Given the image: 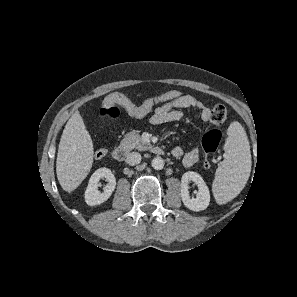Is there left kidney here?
<instances>
[{
    "mask_svg": "<svg viewBox=\"0 0 297 297\" xmlns=\"http://www.w3.org/2000/svg\"><path fill=\"white\" fill-rule=\"evenodd\" d=\"M193 181L198 186L196 198L189 196V183ZM181 198L184 205L192 211H201L208 207L210 202V192L200 174L188 171L181 178Z\"/></svg>",
    "mask_w": 297,
    "mask_h": 297,
    "instance_id": "1",
    "label": "left kidney"
}]
</instances>
